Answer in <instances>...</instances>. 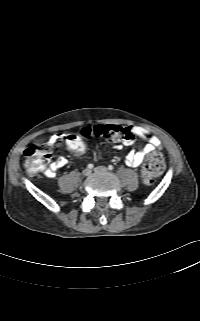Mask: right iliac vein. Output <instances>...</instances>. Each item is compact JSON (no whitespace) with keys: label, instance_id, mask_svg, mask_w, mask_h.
I'll use <instances>...</instances> for the list:
<instances>
[{"label":"right iliac vein","instance_id":"right-iliac-vein-1","mask_svg":"<svg viewBox=\"0 0 200 321\" xmlns=\"http://www.w3.org/2000/svg\"><path fill=\"white\" fill-rule=\"evenodd\" d=\"M82 174L84 176H89L91 174V170L89 168H85L83 171H82Z\"/></svg>","mask_w":200,"mask_h":321}]
</instances>
